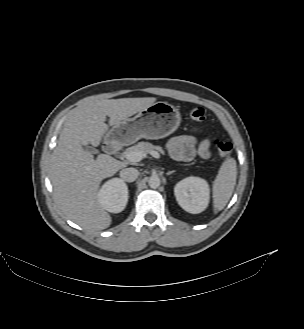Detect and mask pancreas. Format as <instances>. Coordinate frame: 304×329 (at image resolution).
I'll list each match as a JSON object with an SVG mask.
<instances>
[{
    "instance_id": "pancreas-1",
    "label": "pancreas",
    "mask_w": 304,
    "mask_h": 329,
    "mask_svg": "<svg viewBox=\"0 0 304 329\" xmlns=\"http://www.w3.org/2000/svg\"><path fill=\"white\" fill-rule=\"evenodd\" d=\"M129 151H142L145 155L149 154L150 151H158L164 154V150L161 147L155 146L149 142H138L136 145L129 147L125 150V152Z\"/></svg>"
}]
</instances>
